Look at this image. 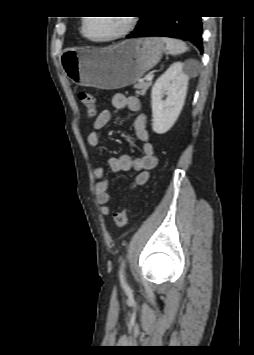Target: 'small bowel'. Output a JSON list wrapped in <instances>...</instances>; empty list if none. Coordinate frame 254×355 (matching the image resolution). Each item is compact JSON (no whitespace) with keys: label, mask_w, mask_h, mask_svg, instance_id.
Instances as JSON below:
<instances>
[{"label":"small bowel","mask_w":254,"mask_h":355,"mask_svg":"<svg viewBox=\"0 0 254 355\" xmlns=\"http://www.w3.org/2000/svg\"><path fill=\"white\" fill-rule=\"evenodd\" d=\"M112 105L117 109H128L136 112L140 109V100L135 96H126L123 94H115L112 98ZM112 114L109 110L101 111L92 123V128L87 136V142L92 148L100 147V132L110 122ZM147 116L139 114L135 117L132 127L136 138L142 143V155L132 157L123 154L117 157L107 158V163L110 169L114 172L135 171L137 174L131 183V188L144 186L150 179V172L156 167L158 158L155 149L150 142L149 133L147 130ZM96 178L95 192L98 203L101 205L100 212L102 215H109L110 193L109 183L105 179L106 169L102 165H98L93 170Z\"/></svg>","instance_id":"small-bowel-1"}]
</instances>
